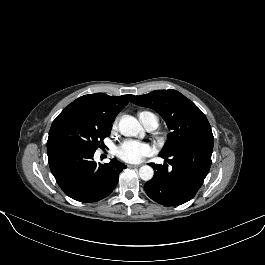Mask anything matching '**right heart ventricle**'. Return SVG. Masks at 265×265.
I'll return each instance as SVG.
<instances>
[{"label":"right heart ventricle","instance_id":"e07e8e85","mask_svg":"<svg viewBox=\"0 0 265 265\" xmlns=\"http://www.w3.org/2000/svg\"><path fill=\"white\" fill-rule=\"evenodd\" d=\"M138 116H139V119L146 117V116H154L156 118V116L153 113L148 112V111H140ZM157 124H158V121H157Z\"/></svg>","mask_w":265,"mask_h":265}]
</instances>
